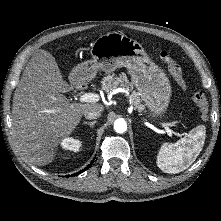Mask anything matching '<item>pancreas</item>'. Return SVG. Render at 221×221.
I'll return each instance as SVG.
<instances>
[{
	"mask_svg": "<svg viewBox=\"0 0 221 221\" xmlns=\"http://www.w3.org/2000/svg\"><path fill=\"white\" fill-rule=\"evenodd\" d=\"M101 87L107 93L112 92L117 87H121L130 92L133 89V83L127 79V76L125 74L119 76H115L114 74H112L102 79ZM130 100L132 105L139 111H143L145 109L144 105L141 104L142 99L139 97L137 92H132Z\"/></svg>",
	"mask_w": 221,
	"mask_h": 221,
	"instance_id": "cf45deb5",
	"label": "pancreas"
}]
</instances>
